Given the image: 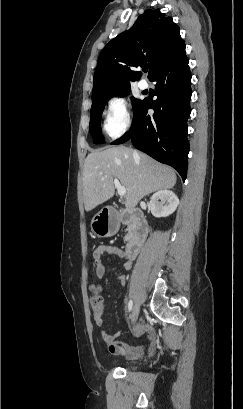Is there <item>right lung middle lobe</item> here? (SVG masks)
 Instances as JSON below:
<instances>
[{
  "mask_svg": "<svg viewBox=\"0 0 243 409\" xmlns=\"http://www.w3.org/2000/svg\"><path fill=\"white\" fill-rule=\"evenodd\" d=\"M130 92V88L118 91L116 93H113L111 95H108L104 98L92 101V107H91V118H90V124H89V130L90 134L92 135L94 139L95 144H102L105 142L104 137L101 133V114L104 110L105 104L107 100L111 97H124L127 96ZM133 102V108L134 111L135 109L139 106L141 103V100L132 98Z\"/></svg>",
  "mask_w": 243,
  "mask_h": 409,
  "instance_id": "1",
  "label": "right lung middle lobe"
}]
</instances>
